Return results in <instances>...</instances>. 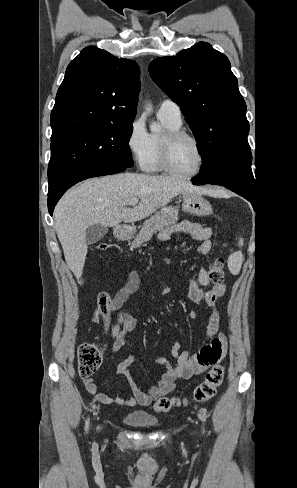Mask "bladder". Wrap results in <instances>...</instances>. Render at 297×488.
<instances>
[{
	"instance_id": "bladder-1",
	"label": "bladder",
	"mask_w": 297,
	"mask_h": 488,
	"mask_svg": "<svg viewBox=\"0 0 297 488\" xmlns=\"http://www.w3.org/2000/svg\"><path fill=\"white\" fill-rule=\"evenodd\" d=\"M125 423L137 428H151L159 424L158 420L144 411H133L123 417Z\"/></svg>"
}]
</instances>
